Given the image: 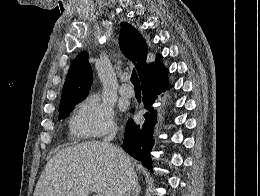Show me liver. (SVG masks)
I'll return each mask as SVG.
<instances>
[{"mask_svg": "<svg viewBox=\"0 0 260 196\" xmlns=\"http://www.w3.org/2000/svg\"><path fill=\"white\" fill-rule=\"evenodd\" d=\"M117 154L126 162L116 160ZM134 160L122 148L84 142L57 152L47 162L33 196H124L138 192Z\"/></svg>", "mask_w": 260, "mask_h": 196, "instance_id": "liver-1", "label": "liver"}]
</instances>
